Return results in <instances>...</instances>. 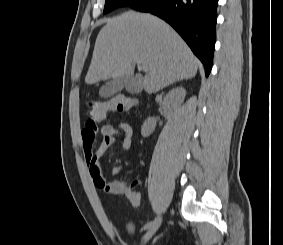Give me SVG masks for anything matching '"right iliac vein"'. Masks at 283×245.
<instances>
[{"instance_id": "63e3f726", "label": "right iliac vein", "mask_w": 283, "mask_h": 245, "mask_svg": "<svg viewBox=\"0 0 283 245\" xmlns=\"http://www.w3.org/2000/svg\"><path fill=\"white\" fill-rule=\"evenodd\" d=\"M162 221V217L158 216L154 221L152 226L147 230V232L145 233V235L142 238V243H146L154 234L155 232L158 230L160 224Z\"/></svg>"}]
</instances>
